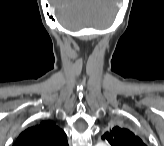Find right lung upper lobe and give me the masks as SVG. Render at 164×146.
<instances>
[{
	"instance_id": "obj_1",
	"label": "right lung upper lobe",
	"mask_w": 164,
	"mask_h": 146,
	"mask_svg": "<svg viewBox=\"0 0 164 146\" xmlns=\"http://www.w3.org/2000/svg\"><path fill=\"white\" fill-rule=\"evenodd\" d=\"M14 146H68L66 134L55 124L43 121L20 134Z\"/></svg>"
}]
</instances>
